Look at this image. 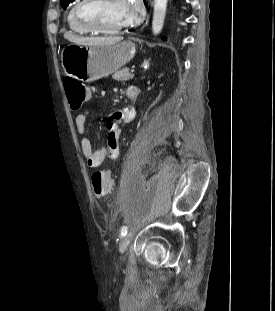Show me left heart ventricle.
Listing matches in <instances>:
<instances>
[{"label": "left heart ventricle", "instance_id": "b2bd125f", "mask_svg": "<svg viewBox=\"0 0 275 311\" xmlns=\"http://www.w3.org/2000/svg\"><path fill=\"white\" fill-rule=\"evenodd\" d=\"M90 16L107 29L125 25V4L123 0H107L90 10Z\"/></svg>", "mask_w": 275, "mask_h": 311}]
</instances>
